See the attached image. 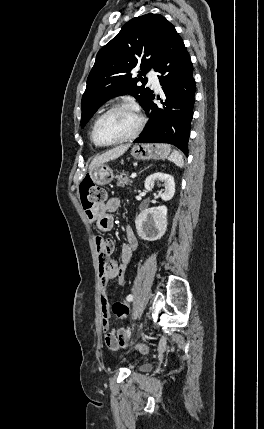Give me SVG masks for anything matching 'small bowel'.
Returning a JSON list of instances; mask_svg holds the SVG:
<instances>
[{"label":"small bowel","mask_w":264,"mask_h":429,"mask_svg":"<svg viewBox=\"0 0 264 429\" xmlns=\"http://www.w3.org/2000/svg\"><path fill=\"white\" fill-rule=\"evenodd\" d=\"M121 200L118 197L108 199L106 202L97 206L96 210L90 214L86 212L90 223H95L100 230H111L116 221L111 215L119 209ZM126 243L121 246L120 261L111 259L115 244L111 239H104L101 236L94 238L95 247L98 253V271L100 277V298L102 312V329L105 333V344L112 350L117 351L121 348L119 333L126 332L124 329L110 330V304L108 300V284L116 279L118 284L125 282V271L132 258L133 252L138 248V238L130 226H126ZM145 348H143L144 350Z\"/></svg>","instance_id":"small-bowel-1"}]
</instances>
